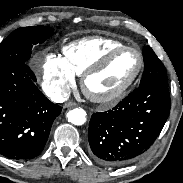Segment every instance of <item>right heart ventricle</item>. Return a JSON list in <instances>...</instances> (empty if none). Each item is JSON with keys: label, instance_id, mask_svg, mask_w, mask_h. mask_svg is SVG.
Instances as JSON below:
<instances>
[{"label": "right heart ventricle", "instance_id": "e07e8e85", "mask_svg": "<svg viewBox=\"0 0 183 183\" xmlns=\"http://www.w3.org/2000/svg\"><path fill=\"white\" fill-rule=\"evenodd\" d=\"M123 45L121 41L108 37H87L65 45L62 58L75 75L81 76L109 50Z\"/></svg>", "mask_w": 183, "mask_h": 183}]
</instances>
